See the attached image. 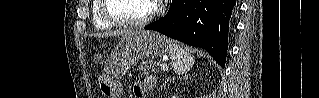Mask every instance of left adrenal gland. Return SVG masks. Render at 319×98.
I'll return each instance as SVG.
<instances>
[{"label": "left adrenal gland", "mask_w": 319, "mask_h": 98, "mask_svg": "<svg viewBox=\"0 0 319 98\" xmlns=\"http://www.w3.org/2000/svg\"><path fill=\"white\" fill-rule=\"evenodd\" d=\"M174 79H175V77H169V78H167V80L163 83L162 88L167 84V82H169V81H171V80H174Z\"/></svg>", "instance_id": "left-adrenal-gland-1"}]
</instances>
